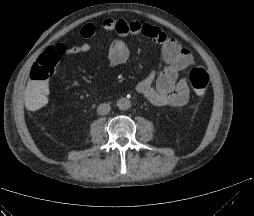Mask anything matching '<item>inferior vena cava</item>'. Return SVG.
I'll list each match as a JSON object with an SVG mask.
<instances>
[{
	"instance_id": "1",
	"label": "inferior vena cava",
	"mask_w": 254,
	"mask_h": 216,
	"mask_svg": "<svg viewBox=\"0 0 254 216\" xmlns=\"http://www.w3.org/2000/svg\"><path fill=\"white\" fill-rule=\"evenodd\" d=\"M111 110V107L107 103H102L97 107V113L99 115H107Z\"/></svg>"
}]
</instances>
